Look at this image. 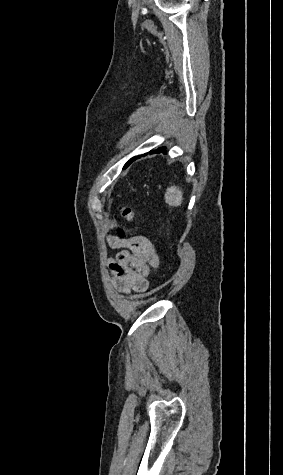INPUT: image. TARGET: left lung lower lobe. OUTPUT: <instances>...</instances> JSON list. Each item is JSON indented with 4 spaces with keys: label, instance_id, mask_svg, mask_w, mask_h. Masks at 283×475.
I'll return each instance as SVG.
<instances>
[{
    "label": "left lung lower lobe",
    "instance_id": "obj_1",
    "mask_svg": "<svg viewBox=\"0 0 283 475\" xmlns=\"http://www.w3.org/2000/svg\"><path fill=\"white\" fill-rule=\"evenodd\" d=\"M166 152V148L165 147H160L158 148L157 150H154V151H150L149 153L152 154V153H165ZM147 153H145L144 155L142 156H146ZM141 156H136V157H133L131 158L126 164L125 166L123 167V169L127 168L134 160L136 159H139Z\"/></svg>",
    "mask_w": 283,
    "mask_h": 475
}]
</instances>
